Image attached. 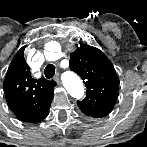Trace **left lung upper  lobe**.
Returning <instances> with one entry per match:
<instances>
[{"mask_svg": "<svg viewBox=\"0 0 147 147\" xmlns=\"http://www.w3.org/2000/svg\"><path fill=\"white\" fill-rule=\"evenodd\" d=\"M70 69L85 83L86 97L77 101L87 116L102 118L108 115L117 100L119 78L111 61L97 48L82 44L71 54Z\"/></svg>", "mask_w": 147, "mask_h": 147, "instance_id": "5c2ea615", "label": "left lung upper lobe"}]
</instances>
